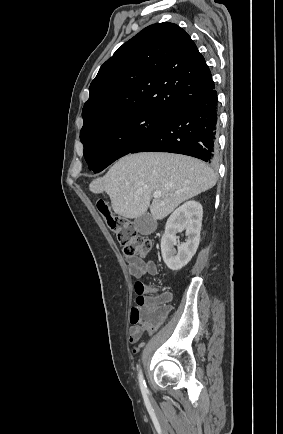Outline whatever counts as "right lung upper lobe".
<instances>
[{
  "label": "right lung upper lobe",
  "instance_id": "1",
  "mask_svg": "<svg viewBox=\"0 0 283 434\" xmlns=\"http://www.w3.org/2000/svg\"><path fill=\"white\" fill-rule=\"evenodd\" d=\"M213 88L210 69L190 36L176 24L156 23L100 67L82 110L81 131L127 112L171 115Z\"/></svg>",
  "mask_w": 283,
  "mask_h": 434
}]
</instances>
